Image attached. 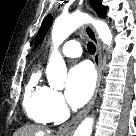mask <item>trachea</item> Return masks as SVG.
Instances as JSON below:
<instances>
[{
    "instance_id": "obj_1",
    "label": "trachea",
    "mask_w": 136,
    "mask_h": 136,
    "mask_svg": "<svg viewBox=\"0 0 136 136\" xmlns=\"http://www.w3.org/2000/svg\"><path fill=\"white\" fill-rule=\"evenodd\" d=\"M87 48H88L89 53L91 54H94L96 51V47L92 42H88Z\"/></svg>"
}]
</instances>
